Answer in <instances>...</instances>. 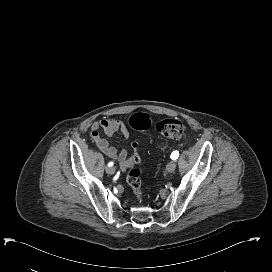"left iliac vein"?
Masks as SVG:
<instances>
[{
    "label": "left iliac vein",
    "instance_id": "obj_1",
    "mask_svg": "<svg viewBox=\"0 0 272 272\" xmlns=\"http://www.w3.org/2000/svg\"><path fill=\"white\" fill-rule=\"evenodd\" d=\"M175 169H176V162L172 160L167 164L166 170L167 172L172 173Z\"/></svg>",
    "mask_w": 272,
    "mask_h": 272
}]
</instances>
